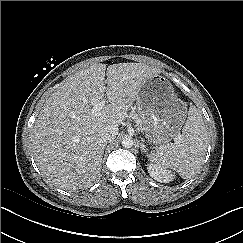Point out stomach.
Segmentation results:
<instances>
[{"instance_id": "0dacf381", "label": "stomach", "mask_w": 243, "mask_h": 243, "mask_svg": "<svg viewBox=\"0 0 243 243\" xmlns=\"http://www.w3.org/2000/svg\"><path fill=\"white\" fill-rule=\"evenodd\" d=\"M136 103L149 142L168 144L180 133L187 117V105L164 76L154 74L144 82Z\"/></svg>"}]
</instances>
